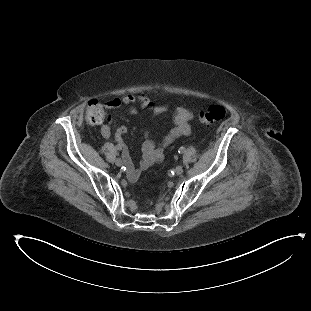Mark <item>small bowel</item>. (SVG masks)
<instances>
[{"instance_id":"1","label":"small bowel","mask_w":311,"mask_h":311,"mask_svg":"<svg viewBox=\"0 0 311 311\" xmlns=\"http://www.w3.org/2000/svg\"><path fill=\"white\" fill-rule=\"evenodd\" d=\"M104 106L107 109H119L123 106H129L125 114L128 117L137 114L138 110L136 106L150 111L153 117L164 114L169 110L167 104H156L144 94L126 95L122 98H114L106 101ZM193 119V112L185 108H178L174 114V126L159 143H155L150 137L149 132H147L142 146V158L139 163L140 170L144 171L153 164L162 161L165 150L170 144L181 136L190 135L191 128L189 122ZM101 133L104 137H111L113 135L117 141L122 142L127 133V127L121 125L116 132L112 134L110 126L104 124L101 127Z\"/></svg>"}]
</instances>
